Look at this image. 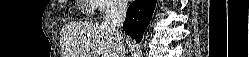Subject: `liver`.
<instances>
[{
  "label": "liver",
  "mask_w": 249,
  "mask_h": 57,
  "mask_svg": "<svg viewBox=\"0 0 249 57\" xmlns=\"http://www.w3.org/2000/svg\"><path fill=\"white\" fill-rule=\"evenodd\" d=\"M63 57H119V38L99 23H69L61 30ZM122 37V36H121ZM123 39V38H122Z\"/></svg>",
  "instance_id": "1"
}]
</instances>
